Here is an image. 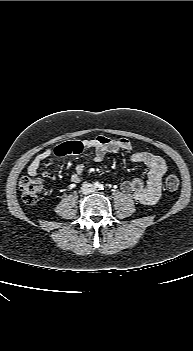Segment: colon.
<instances>
[{"label":"colon","mask_w":193,"mask_h":351,"mask_svg":"<svg viewBox=\"0 0 193 351\" xmlns=\"http://www.w3.org/2000/svg\"><path fill=\"white\" fill-rule=\"evenodd\" d=\"M165 186L169 190H175L179 186V178L170 173L165 177ZM43 181L40 178L24 177L19 182V189L23 201L27 204L36 203L43 193Z\"/></svg>","instance_id":"colon-1"}]
</instances>
